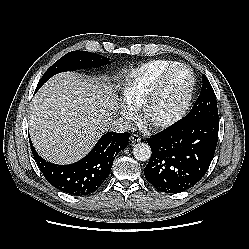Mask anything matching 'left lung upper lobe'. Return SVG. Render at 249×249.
I'll use <instances>...</instances> for the list:
<instances>
[{
    "instance_id": "5c2ea615",
    "label": "left lung upper lobe",
    "mask_w": 249,
    "mask_h": 249,
    "mask_svg": "<svg viewBox=\"0 0 249 249\" xmlns=\"http://www.w3.org/2000/svg\"><path fill=\"white\" fill-rule=\"evenodd\" d=\"M184 118H200L219 121L216 96L205 75L202 76V90L191 111Z\"/></svg>"
}]
</instances>
